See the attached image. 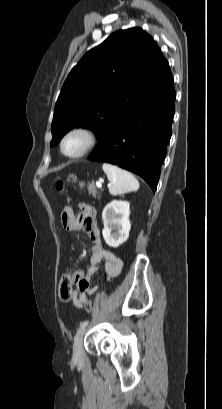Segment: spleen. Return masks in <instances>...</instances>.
<instances>
[{"label": "spleen", "mask_w": 222, "mask_h": 409, "mask_svg": "<svg viewBox=\"0 0 222 409\" xmlns=\"http://www.w3.org/2000/svg\"><path fill=\"white\" fill-rule=\"evenodd\" d=\"M102 169L111 182L109 186L111 195L116 196L138 190L139 182L130 172L108 163H104Z\"/></svg>", "instance_id": "3e777b00"}]
</instances>
